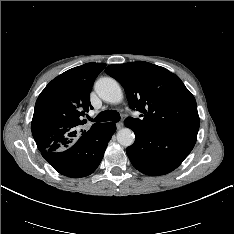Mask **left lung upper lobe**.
Instances as JSON below:
<instances>
[{"instance_id": "1", "label": "left lung upper lobe", "mask_w": 234, "mask_h": 234, "mask_svg": "<svg viewBox=\"0 0 234 234\" xmlns=\"http://www.w3.org/2000/svg\"><path fill=\"white\" fill-rule=\"evenodd\" d=\"M105 72L124 87L129 106L143 118H126L156 129L199 130L196 101L183 82L167 69L148 62L113 64Z\"/></svg>"}]
</instances>
